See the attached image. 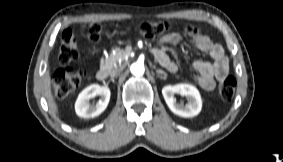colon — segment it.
<instances>
[{
  "label": "colon",
  "mask_w": 283,
  "mask_h": 162,
  "mask_svg": "<svg viewBox=\"0 0 283 162\" xmlns=\"http://www.w3.org/2000/svg\"><path fill=\"white\" fill-rule=\"evenodd\" d=\"M171 25L168 21L142 22L136 26L140 34L146 38L153 39L165 34ZM82 34L90 41H98L101 37L102 26L98 22L85 23L81 28ZM79 56L76 44L75 31L66 29L61 35V44L58 60L62 65L52 74L53 90L58 98H66L75 92L85 79V73L73 71L67 67ZM236 80L233 76H226L218 85V93L222 100L230 101L235 93Z\"/></svg>",
  "instance_id": "colon-1"
}]
</instances>
